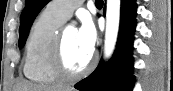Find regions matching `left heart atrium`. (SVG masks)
Wrapping results in <instances>:
<instances>
[{"mask_svg":"<svg viewBox=\"0 0 173 91\" xmlns=\"http://www.w3.org/2000/svg\"><path fill=\"white\" fill-rule=\"evenodd\" d=\"M77 38L82 48L90 53L93 52L97 40V33L94 23L89 17L82 19L81 26L77 30Z\"/></svg>","mask_w":173,"mask_h":91,"instance_id":"1","label":"left heart atrium"}]
</instances>
